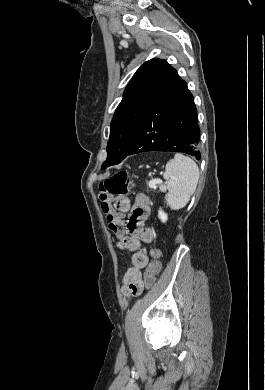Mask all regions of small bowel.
I'll return each mask as SVG.
<instances>
[{"label":"small bowel","instance_id":"c3829d8e","mask_svg":"<svg viewBox=\"0 0 265 390\" xmlns=\"http://www.w3.org/2000/svg\"><path fill=\"white\" fill-rule=\"evenodd\" d=\"M114 207L122 216L129 212L126 225L128 235L120 238L119 248L133 252L131 267L123 277V292L127 297H136L144 290L141 270L147 266L149 261L146 251L142 249V244H149L154 238L152 230L144 227V222L150 213V201L145 194H138L131 205L126 196H116Z\"/></svg>","mask_w":265,"mask_h":390}]
</instances>
